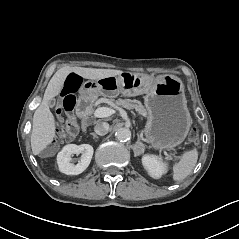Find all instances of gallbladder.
Here are the masks:
<instances>
[{
  "label": "gallbladder",
  "mask_w": 239,
  "mask_h": 239,
  "mask_svg": "<svg viewBox=\"0 0 239 239\" xmlns=\"http://www.w3.org/2000/svg\"><path fill=\"white\" fill-rule=\"evenodd\" d=\"M55 104H56V100H55V99H50V100L48 101V106H49V107H54Z\"/></svg>",
  "instance_id": "gallbladder-1"
}]
</instances>
